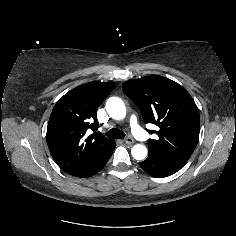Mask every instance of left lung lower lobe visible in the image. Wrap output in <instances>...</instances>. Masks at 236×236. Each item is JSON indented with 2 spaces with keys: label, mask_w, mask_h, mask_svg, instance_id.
<instances>
[{
  "label": "left lung lower lobe",
  "mask_w": 236,
  "mask_h": 236,
  "mask_svg": "<svg viewBox=\"0 0 236 236\" xmlns=\"http://www.w3.org/2000/svg\"><path fill=\"white\" fill-rule=\"evenodd\" d=\"M188 159L189 158L162 157L149 154L148 158L139 164L149 175L162 178L170 176L180 170Z\"/></svg>",
  "instance_id": "obj_1"
}]
</instances>
